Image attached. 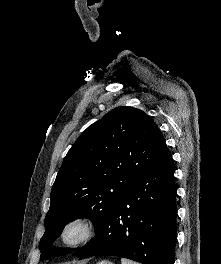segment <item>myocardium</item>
<instances>
[{
  "label": "myocardium",
  "mask_w": 221,
  "mask_h": 264,
  "mask_svg": "<svg viewBox=\"0 0 221 264\" xmlns=\"http://www.w3.org/2000/svg\"><path fill=\"white\" fill-rule=\"evenodd\" d=\"M94 220L85 215H77L69 219L60 234L61 241L68 247H77L88 242L95 234Z\"/></svg>",
  "instance_id": "myocardium-1"
}]
</instances>
